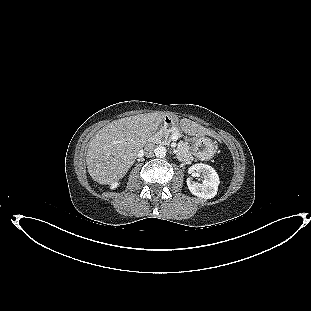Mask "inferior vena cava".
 Masks as SVG:
<instances>
[{
	"mask_svg": "<svg viewBox=\"0 0 311 311\" xmlns=\"http://www.w3.org/2000/svg\"><path fill=\"white\" fill-rule=\"evenodd\" d=\"M144 154L146 157H152L154 154V145L152 143H147L144 147Z\"/></svg>",
	"mask_w": 311,
	"mask_h": 311,
	"instance_id": "inferior-vena-cava-1",
	"label": "inferior vena cava"
}]
</instances>
